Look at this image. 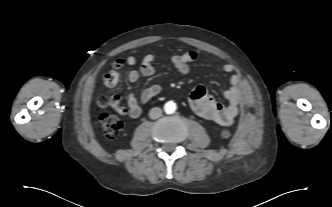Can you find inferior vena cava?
Instances as JSON below:
<instances>
[{
  "mask_svg": "<svg viewBox=\"0 0 332 207\" xmlns=\"http://www.w3.org/2000/svg\"><path fill=\"white\" fill-rule=\"evenodd\" d=\"M162 116V110L159 107H154L149 112V117L151 119H157Z\"/></svg>",
  "mask_w": 332,
  "mask_h": 207,
  "instance_id": "1",
  "label": "inferior vena cava"
}]
</instances>
